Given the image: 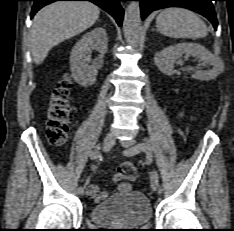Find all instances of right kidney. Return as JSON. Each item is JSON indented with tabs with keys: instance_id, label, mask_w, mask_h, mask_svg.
I'll return each instance as SVG.
<instances>
[{
	"instance_id": "obj_1",
	"label": "right kidney",
	"mask_w": 234,
	"mask_h": 231,
	"mask_svg": "<svg viewBox=\"0 0 234 231\" xmlns=\"http://www.w3.org/2000/svg\"><path fill=\"white\" fill-rule=\"evenodd\" d=\"M92 49L105 54L108 49L106 30L99 27L86 33L73 47L70 56V69L73 79L81 86H91L96 81L97 70L88 64L87 55Z\"/></svg>"
}]
</instances>
